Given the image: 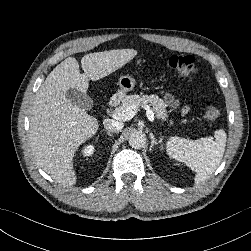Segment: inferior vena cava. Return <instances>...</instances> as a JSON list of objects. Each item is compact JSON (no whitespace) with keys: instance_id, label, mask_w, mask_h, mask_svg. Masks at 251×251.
<instances>
[{"instance_id":"inferior-vena-cava-1","label":"inferior vena cava","mask_w":251,"mask_h":251,"mask_svg":"<svg viewBox=\"0 0 251 251\" xmlns=\"http://www.w3.org/2000/svg\"><path fill=\"white\" fill-rule=\"evenodd\" d=\"M103 124L104 128L111 132H119L124 126L122 122L115 121L112 119H105Z\"/></svg>"}]
</instances>
